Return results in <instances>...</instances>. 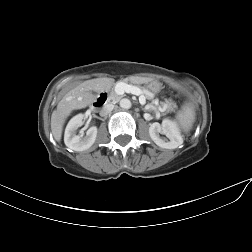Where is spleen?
Wrapping results in <instances>:
<instances>
[{
	"label": "spleen",
	"mask_w": 252,
	"mask_h": 252,
	"mask_svg": "<svg viewBox=\"0 0 252 252\" xmlns=\"http://www.w3.org/2000/svg\"><path fill=\"white\" fill-rule=\"evenodd\" d=\"M176 120L180 126V128L188 133L192 128V125L195 121V112L191 105L185 104L180 111H178L176 115Z\"/></svg>",
	"instance_id": "3e777b00"
}]
</instances>
